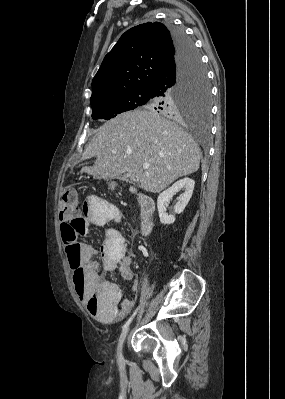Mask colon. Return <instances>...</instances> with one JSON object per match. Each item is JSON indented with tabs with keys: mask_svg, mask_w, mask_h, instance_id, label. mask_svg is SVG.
Segmentation results:
<instances>
[{
	"mask_svg": "<svg viewBox=\"0 0 285 399\" xmlns=\"http://www.w3.org/2000/svg\"><path fill=\"white\" fill-rule=\"evenodd\" d=\"M82 204L78 200L77 190L74 187L67 188L62 195L59 212L63 220L60 224V231L62 240L66 244V253L71 266V273L73 277V289L78 293L83 288L84 270L79 264L80 247L78 240L81 237L80 229L85 226V222L81 216ZM110 218L108 222H113ZM125 254L124 241L119 237V243L115 248V256L119 259ZM97 306L100 302L97 301ZM95 306V302H94Z\"/></svg>",
	"mask_w": 285,
	"mask_h": 399,
	"instance_id": "5ec220e1",
	"label": "colon"
}]
</instances>
